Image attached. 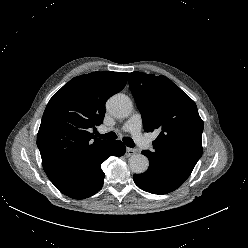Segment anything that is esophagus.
Returning a JSON list of instances; mask_svg holds the SVG:
<instances>
[{
  "label": "esophagus",
  "instance_id": "1",
  "mask_svg": "<svg viewBox=\"0 0 248 248\" xmlns=\"http://www.w3.org/2000/svg\"><path fill=\"white\" fill-rule=\"evenodd\" d=\"M136 153H137V150L134 149V148H127V149H126V155H127V156H132V155H134V154H136Z\"/></svg>",
  "mask_w": 248,
  "mask_h": 248
}]
</instances>
